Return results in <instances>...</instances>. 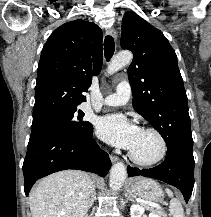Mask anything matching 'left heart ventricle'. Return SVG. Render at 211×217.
I'll use <instances>...</instances> for the list:
<instances>
[{"mask_svg":"<svg viewBox=\"0 0 211 217\" xmlns=\"http://www.w3.org/2000/svg\"><path fill=\"white\" fill-rule=\"evenodd\" d=\"M160 151L159 139L153 133L145 131H141L135 146L131 149V152L141 160H152Z\"/></svg>","mask_w":211,"mask_h":217,"instance_id":"obj_1","label":"left heart ventricle"}]
</instances>
